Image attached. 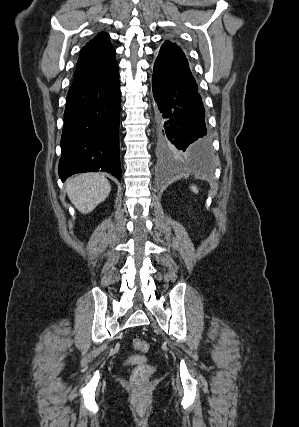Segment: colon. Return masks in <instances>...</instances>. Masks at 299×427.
Instances as JSON below:
<instances>
[{
    "mask_svg": "<svg viewBox=\"0 0 299 427\" xmlns=\"http://www.w3.org/2000/svg\"><path fill=\"white\" fill-rule=\"evenodd\" d=\"M133 344L134 347L140 352H147L149 350V344L139 338H135ZM152 372L153 367L151 365L142 364L137 366L131 376V382L134 387L138 390H143L147 386Z\"/></svg>",
    "mask_w": 299,
    "mask_h": 427,
    "instance_id": "colon-1",
    "label": "colon"
}]
</instances>
